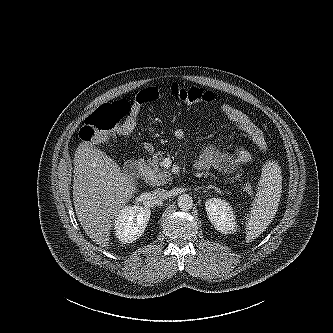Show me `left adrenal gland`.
<instances>
[{"label": "left adrenal gland", "mask_w": 333, "mask_h": 333, "mask_svg": "<svg viewBox=\"0 0 333 333\" xmlns=\"http://www.w3.org/2000/svg\"><path fill=\"white\" fill-rule=\"evenodd\" d=\"M203 187H197V188H195V190H199V189H202Z\"/></svg>", "instance_id": "obj_1"}]
</instances>
